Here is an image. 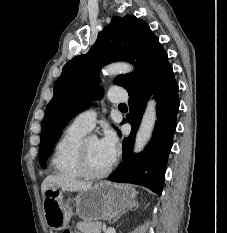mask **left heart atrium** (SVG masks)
<instances>
[{
    "label": "left heart atrium",
    "instance_id": "39dd6f15",
    "mask_svg": "<svg viewBox=\"0 0 227 233\" xmlns=\"http://www.w3.org/2000/svg\"><path fill=\"white\" fill-rule=\"evenodd\" d=\"M101 150L108 156L110 160H114L118 151V139L112 129L106 127L103 135L99 140Z\"/></svg>",
    "mask_w": 227,
    "mask_h": 233
}]
</instances>
